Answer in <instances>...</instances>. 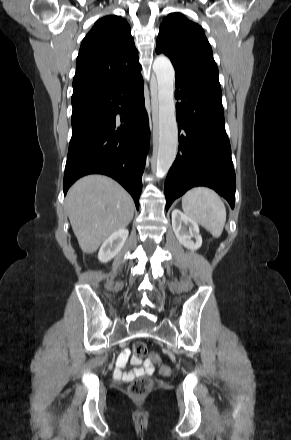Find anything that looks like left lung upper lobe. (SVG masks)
<instances>
[{
	"mask_svg": "<svg viewBox=\"0 0 291 440\" xmlns=\"http://www.w3.org/2000/svg\"><path fill=\"white\" fill-rule=\"evenodd\" d=\"M157 53L167 55L176 76L219 88L218 68L203 29L180 13H171L159 28Z\"/></svg>",
	"mask_w": 291,
	"mask_h": 440,
	"instance_id": "1",
	"label": "left lung upper lobe"
}]
</instances>
